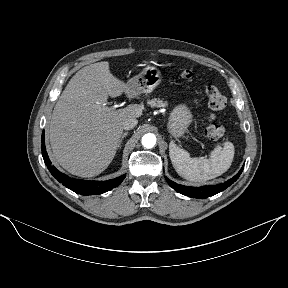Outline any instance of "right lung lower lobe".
Instances as JSON below:
<instances>
[{
  "label": "right lung lower lobe",
  "mask_w": 288,
  "mask_h": 288,
  "mask_svg": "<svg viewBox=\"0 0 288 288\" xmlns=\"http://www.w3.org/2000/svg\"><path fill=\"white\" fill-rule=\"evenodd\" d=\"M44 138H45V133L43 131L42 138H41V142H42L41 150H42V156H43V159L47 168L49 169L53 177H55L60 183H62L64 186H66L67 188H69L70 190L74 191L77 194H80V195L102 194L104 192H107L117 187L124 180L126 176V175H122L120 177L107 180V181H89V180L71 178L65 175L64 173H61L51 164V161L46 152Z\"/></svg>",
  "instance_id": "right-lung-lower-lobe-1"
}]
</instances>
